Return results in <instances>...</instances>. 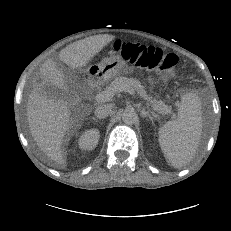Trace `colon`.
<instances>
[{"label": "colon", "instance_id": "1", "mask_svg": "<svg viewBox=\"0 0 231 231\" xmlns=\"http://www.w3.org/2000/svg\"><path fill=\"white\" fill-rule=\"evenodd\" d=\"M113 49L125 60L144 69L156 70L170 77L174 75L177 57L172 53H164L161 49L138 43L115 41Z\"/></svg>", "mask_w": 231, "mask_h": 231}]
</instances>
